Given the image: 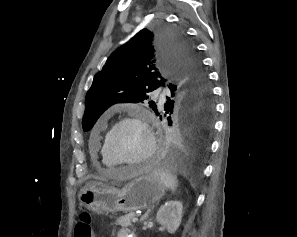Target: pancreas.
<instances>
[{
	"label": "pancreas",
	"instance_id": "cf45deb5",
	"mask_svg": "<svg viewBox=\"0 0 297 237\" xmlns=\"http://www.w3.org/2000/svg\"><path fill=\"white\" fill-rule=\"evenodd\" d=\"M135 217V213L131 212L128 213L124 216L119 217L116 222L115 225H120L122 227H128L132 225V219Z\"/></svg>",
	"mask_w": 297,
	"mask_h": 237
}]
</instances>
